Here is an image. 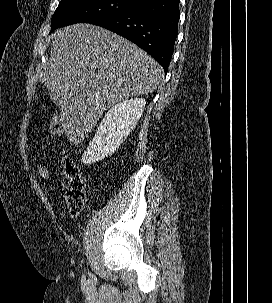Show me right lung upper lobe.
Wrapping results in <instances>:
<instances>
[{
  "label": "right lung upper lobe",
  "mask_w": 272,
  "mask_h": 303,
  "mask_svg": "<svg viewBox=\"0 0 272 303\" xmlns=\"http://www.w3.org/2000/svg\"><path fill=\"white\" fill-rule=\"evenodd\" d=\"M136 1L137 3H140V2H143V1H146V0H134Z\"/></svg>",
  "instance_id": "1"
}]
</instances>
